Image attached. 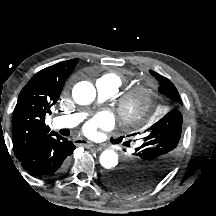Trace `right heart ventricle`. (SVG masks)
<instances>
[{"label": "right heart ventricle", "instance_id": "obj_1", "mask_svg": "<svg viewBox=\"0 0 216 216\" xmlns=\"http://www.w3.org/2000/svg\"><path fill=\"white\" fill-rule=\"evenodd\" d=\"M102 78L110 80L115 85L116 89L121 87L127 81V77L123 70L109 71L105 73Z\"/></svg>", "mask_w": 216, "mask_h": 216}]
</instances>
